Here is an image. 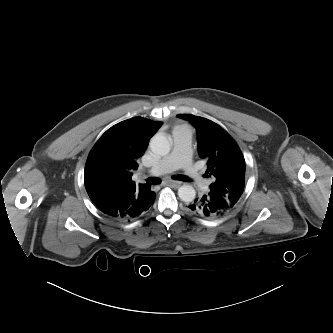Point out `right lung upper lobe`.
Listing matches in <instances>:
<instances>
[{
    "label": "right lung upper lobe",
    "instance_id": "right-lung-upper-lobe-1",
    "mask_svg": "<svg viewBox=\"0 0 333 333\" xmlns=\"http://www.w3.org/2000/svg\"><path fill=\"white\" fill-rule=\"evenodd\" d=\"M161 125L133 117L112 126L100 137L89 153L84 172L85 188L93 202L104 198L120 199L130 205L143 202L151 187L136 186L132 172Z\"/></svg>",
    "mask_w": 333,
    "mask_h": 333
}]
</instances>
